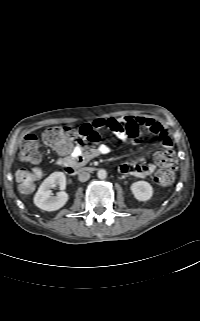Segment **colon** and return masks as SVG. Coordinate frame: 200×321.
Listing matches in <instances>:
<instances>
[{
  "label": "colon",
  "instance_id": "colon-1",
  "mask_svg": "<svg viewBox=\"0 0 200 321\" xmlns=\"http://www.w3.org/2000/svg\"><path fill=\"white\" fill-rule=\"evenodd\" d=\"M44 142L50 147L59 151L67 150L69 144L76 140L80 146H85L88 142H99L101 136L98 132L81 127L75 130L69 126H54L48 128L43 133ZM20 159L24 162L36 164L40 160L39 141L33 134L25 136L19 153ZM158 170L155 174V181L161 186L170 185L176 175L177 160L172 150L162 152L156 157ZM41 172L38 168H22L16 178L23 191H31Z\"/></svg>",
  "mask_w": 200,
  "mask_h": 321
}]
</instances>
